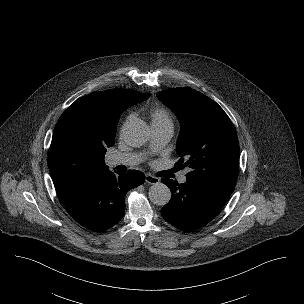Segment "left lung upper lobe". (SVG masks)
I'll use <instances>...</instances> for the list:
<instances>
[{
	"label": "left lung upper lobe",
	"instance_id": "1",
	"mask_svg": "<svg viewBox=\"0 0 304 304\" xmlns=\"http://www.w3.org/2000/svg\"><path fill=\"white\" fill-rule=\"evenodd\" d=\"M157 97L181 123L177 144L180 159L175 166L191 168L187 180L232 193L240 150L236 131L224 110L188 87L167 89L158 92Z\"/></svg>",
	"mask_w": 304,
	"mask_h": 304
}]
</instances>
